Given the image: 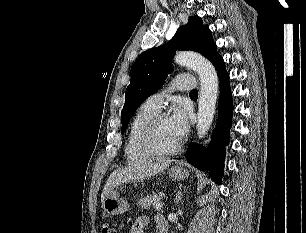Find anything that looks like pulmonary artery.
Masks as SVG:
<instances>
[{
  "label": "pulmonary artery",
  "instance_id": "1",
  "mask_svg": "<svg viewBox=\"0 0 306 233\" xmlns=\"http://www.w3.org/2000/svg\"><path fill=\"white\" fill-rule=\"evenodd\" d=\"M195 88V80L189 75H177L171 82V89L178 91H191ZM165 92H159L147 98L145 103L155 110H160Z\"/></svg>",
  "mask_w": 306,
  "mask_h": 233
}]
</instances>
